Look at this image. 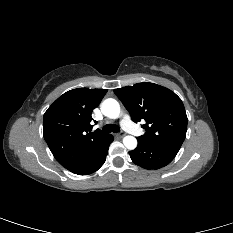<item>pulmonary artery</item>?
<instances>
[{
  "instance_id": "pulmonary-artery-1",
  "label": "pulmonary artery",
  "mask_w": 233,
  "mask_h": 233,
  "mask_svg": "<svg viewBox=\"0 0 233 233\" xmlns=\"http://www.w3.org/2000/svg\"><path fill=\"white\" fill-rule=\"evenodd\" d=\"M121 125L122 127L132 133V134H137L138 130L137 127L133 124V122L131 121V118L128 114H124L122 119H121Z\"/></svg>"
}]
</instances>
